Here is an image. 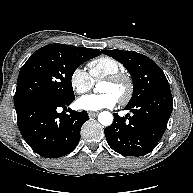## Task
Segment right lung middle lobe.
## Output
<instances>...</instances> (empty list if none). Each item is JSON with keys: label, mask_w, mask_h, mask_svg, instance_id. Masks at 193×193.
I'll return each mask as SVG.
<instances>
[{"label": "right lung middle lobe", "mask_w": 193, "mask_h": 193, "mask_svg": "<svg viewBox=\"0 0 193 193\" xmlns=\"http://www.w3.org/2000/svg\"><path fill=\"white\" fill-rule=\"evenodd\" d=\"M96 56L90 50L72 45L50 44L40 48L20 70L14 96L15 107L39 96L73 100L71 78L74 71Z\"/></svg>", "instance_id": "1"}]
</instances>
